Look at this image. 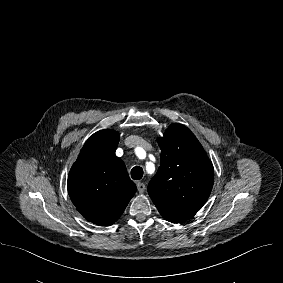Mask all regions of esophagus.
I'll return each mask as SVG.
<instances>
[{"mask_svg":"<svg viewBox=\"0 0 283 283\" xmlns=\"http://www.w3.org/2000/svg\"><path fill=\"white\" fill-rule=\"evenodd\" d=\"M146 189V186L144 183L142 182H138L137 183V190L140 192V193H143Z\"/></svg>","mask_w":283,"mask_h":283,"instance_id":"obj_1","label":"esophagus"}]
</instances>
